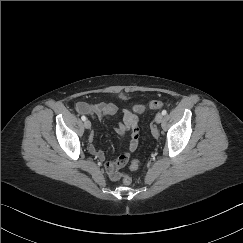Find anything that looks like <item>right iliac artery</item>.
<instances>
[{
    "label": "right iliac artery",
    "instance_id": "82829eb1",
    "mask_svg": "<svg viewBox=\"0 0 243 243\" xmlns=\"http://www.w3.org/2000/svg\"><path fill=\"white\" fill-rule=\"evenodd\" d=\"M81 119H82L83 121H85V120H86V117L83 115V116L81 117Z\"/></svg>",
    "mask_w": 243,
    "mask_h": 243
}]
</instances>
